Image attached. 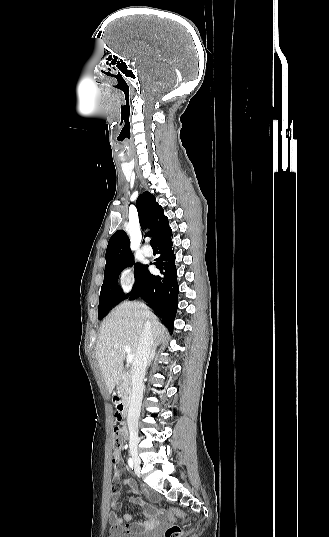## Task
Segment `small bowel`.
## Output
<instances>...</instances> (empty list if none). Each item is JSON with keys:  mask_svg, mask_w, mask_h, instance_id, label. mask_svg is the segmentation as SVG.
Returning <instances> with one entry per match:
<instances>
[{"mask_svg": "<svg viewBox=\"0 0 329 537\" xmlns=\"http://www.w3.org/2000/svg\"><path fill=\"white\" fill-rule=\"evenodd\" d=\"M114 421L116 423H121L123 421V416L119 412V408H114ZM122 457L120 450H115L113 453L112 460V474L115 476L118 472V465L121 463ZM126 487L128 488L129 493L132 495L133 499L140 503L143 510L144 520L140 522H131L132 517L130 514H124L123 517H119L115 512H109L108 521L111 524V530L114 532H125V533H141L153 529L158 520L165 518V511L163 509H155L154 507L144 503L140 498V493L137 484L128 480L125 482ZM119 490L116 486L112 488L110 507L115 508L119 503ZM147 495L156 500V497L147 493ZM125 522V524H124Z\"/></svg>", "mask_w": 329, "mask_h": 537, "instance_id": "obj_1", "label": "small bowel"}]
</instances>
